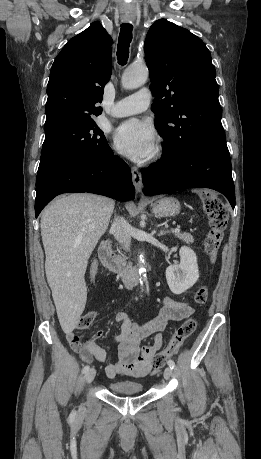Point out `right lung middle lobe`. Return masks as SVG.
<instances>
[{
  "mask_svg": "<svg viewBox=\"0 0 261 459\" xmlns=\"http://www.w3.org/2000/svg\"><path fill=\"white\" fill-rule=\"evenodd\" d=\"M44 130L37 179L69 162L103 157L109 148L94 120L62 123Z\"/></svg>",
  "mask_w": 261,
  "mask_h": 459,
  "instance_id": "obj_1",
  "label": "right lung middle lobe"
}]
</instances>
